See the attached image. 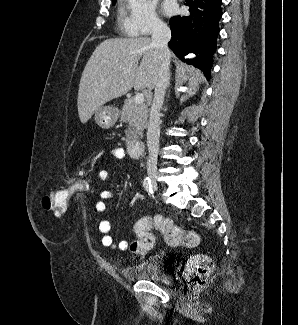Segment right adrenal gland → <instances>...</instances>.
<instances>
[{
  "label": "right adrenal gland",
  "instance_id": "obj_1",
  "mask_svg": "<svg viewBox=\"0 0 298 325\" xmlns=\"http://www.w3.org/2000/svg\"><path fill=\"white\" fill-rule=\"evenodd\" d=\"M169 78H170V74H169ZM168 86H170V80H168L166 88H168Z\"/></svg>",
  "mask_w": 298,
  "mask_h": 325
}]
</instances>
